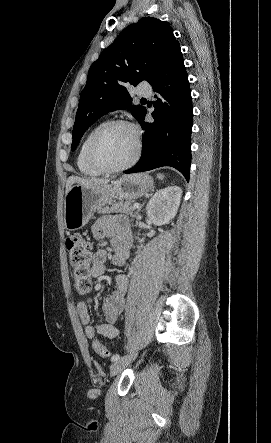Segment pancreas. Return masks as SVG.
I'll return each mask as SVG.
<instances>
[{"label":"pancreas","mask_w":271,"mask_h":443,"mask_svg":"<svg viewBox=\"0 0 271 443\" xmlns=\"http://www.w3.org/2000/svg\"><path fill=\"white\" fill-rule=\"evenodd\" d=\"M117 212L128 214V216L134 218V216H137L139 208H136L135 212L130 200H127V202H123V200H120V202H114V204H111V208H108V206H106V208H99V214H117Z\"/></svg>","instance_id":"cf45deb5"}]
</instances>
